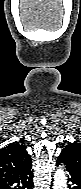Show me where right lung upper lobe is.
Listing matches in <instances>:
<instances>
[{
    "instance_id": "1",
    "label": "right lung upper lobe",
    "mask_w": 81,
    "mask_h": 189,
    "mask_svg": "<svg viewBox=\"0 0 81 189\" xmlns=\"http://www.w3.org/2000/svg\"><path fill=\"white\" fill-rule=\"evenodd\" d=\"M31 161L26 148L18 143H11L0 150V178L22 168Z\"/></svg>"
}]
</instances>
